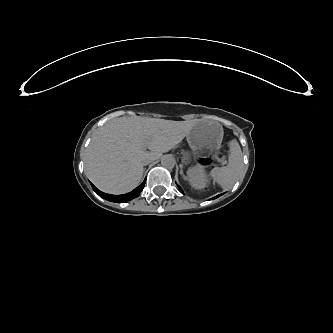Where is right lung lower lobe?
Listing matches in <instances>:
<instances>
[{
  "instance_id": "1",
  "label": "right lung lower lobe",
  "mask_w": 333,
  "mask_h": 333,
  "mask_svg": "<svg viewBox=\"0 0 333 333\" xmlns=\"http://www.w3.org/2000/svg\"><path fill=\"white\" fill-rule=\"evenodd\" d=\"M144 185H145V180L144 182L139 186L137 187L136 189H134L132 192L128 193V194H125V195H120L118 197H121L123 199L127 198V199H132L134 197H136L144 188ZM93 188L94 190L99 194V195H105V196H114V195H109V194H105L101 191H99L94 185H93Z\"/></svg>"
}]
</instances>
